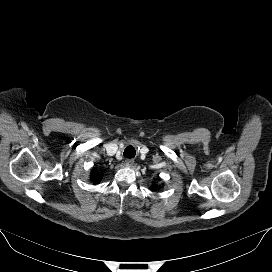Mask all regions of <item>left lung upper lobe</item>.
I'll use <instances>...</instances> for the list:
<instances>
[{"instance_id":"obj_1","label":"left lung upper lobe","mask_w":272,"mask_h":272,"mask_svg":"<svg viewBox=\"0 0 272 272\" xmlns=\"http://www.w3.org/2000/svg\"><path fill=\"white\" fill-rule=\"evenodd\" d=\"M157 189V185H153V187H152V190H156Z\"/></svg>"}]
</instances>
